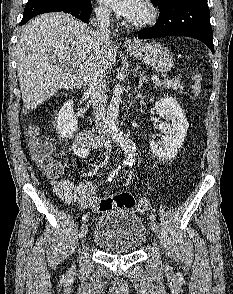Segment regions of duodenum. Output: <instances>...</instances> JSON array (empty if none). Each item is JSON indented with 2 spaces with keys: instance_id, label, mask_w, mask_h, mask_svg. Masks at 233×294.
Wrapping results in <instances>:
<instances>
[{
  "instance_id": "1",
  "label": "duodenum",
  "mask_w": 233,
  "mask_h": 294,
  "mask_svg": "<svg viewBox=\"0 0 233 294\" xmlns=\"http://www.w3.org/2000/svg\"><path fill=\"white\" fill-rule=\"evenodd\" d=\"M79 137L83 140V142L90 146L95 147L100 144V139L92 132L84 131L79 133Z\"/></svg>"
}]
</instances>
